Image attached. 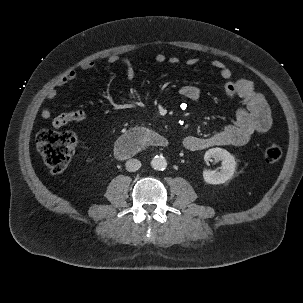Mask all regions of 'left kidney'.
<instances>
[{
  "instance_id": "1",
  "label": "left kidney",
  "mask_w": 303,
  "mask_h": 303,
  "mask_svg": "<svg viewBox=\"0 0 303 303\" xmlns=\"http://www.w3.org/2000/svg\"><path fill=\"white\" fill-rule=\"evenodd\" d=\"M204 159L206 162L214 159L215 161H222L220 171L204 170L203 178L208 184H222L230 180L235 172L236 161L235 158L225 149L212 148L205 152Z\"/></svg>"
}]
</instances>
